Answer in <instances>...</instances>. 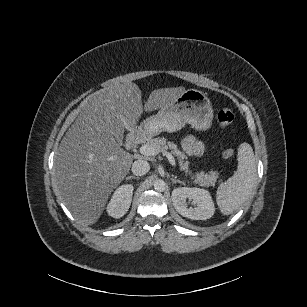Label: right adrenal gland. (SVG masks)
<instances>
[{
    "label": "right adrenal gland",
    "instance_id": "obj_1",
    "mask_svg": "<svg viewBox=\"0 0 307 307\" xmlns=\"http://www.w3.org/2000/svg\"><path fill=\"white\" fill-rule=\"evenodd\" d=\"M130 179H137V180H139L140 178L139 177H135V176H128V177H126V180H130Z\"/></svg>",
    "mask_w": 307,
    "mask_h": 307
}]
</instances>
